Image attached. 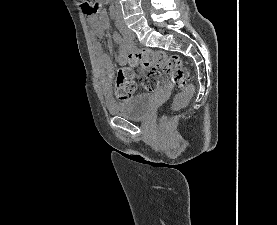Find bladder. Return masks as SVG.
<instances>
[{"mask_svg":"<svg viewBox=\"0 0 277 225\" xmlns=\"http://www.w3.org/2000/svg\"><path fill=\"white\" fill-rule=\"evenodd\" d=\"M152 108L153 97L149 93L137 94L128 101L107 104V109L110 114L130 120L145 118L151 112Z\"/></svg>","mask_w":277,"mask_h":225,"instance_id":"31cf9c89","label":"bladder"}]
</instances>
